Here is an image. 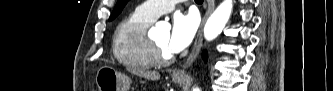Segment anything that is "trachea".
<instances>
[{
  "instance_id": "trachea-1",
  "label": "trachea",
  "mask_w": 333,
  "mask_h": 91,
  "mask_svg": "<svg viewBox=\"0 0 333 91\" xmlns=\"http://www.w3.org/2000/svg\"><path fill=\"white\" fill-rule=\"evenodd\" d=\"M197 3H202L203 0H195Z\"/></svg>"
}]
</instances>
